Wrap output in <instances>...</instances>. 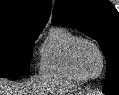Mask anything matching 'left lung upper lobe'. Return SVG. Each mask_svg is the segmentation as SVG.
Wrapping results in <instances>:
<instances>
[{"label": "left lung upper lobe", "instance_id": "1", "mask_svg": "<svg viewBox=\"0 0 119 95\" xmlns=\"http://www.w3.org/2000/svg\"><path fill=\"white\" fill-rule=\"evenodd\" d=\"M52 23L98 41L107 61L103 92L119 94V13L107 0H55Z\"/></svg>", "mask_w": 119, "mask_h": 95}]
</instances>
